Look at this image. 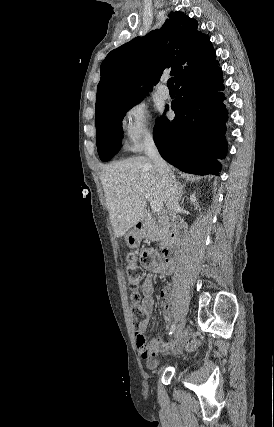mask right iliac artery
<instances>
[{
  "label": "right iliac artery",
  "mask_w": 274,
  "mask_h": 427,
  "mask_svg": "<svg viewBox=\"0 0 274 427\" xmlns=\"http://www.w3.org/2000/svg\"><path fill=\"white\" fill-rule=\"evenodd\" d=\"M174 331H175V324H173L171 326L170 331H169V336H171L174 333Z\"/></svg>",
  "instance_id": "82829eb1"
}]
</instances>
